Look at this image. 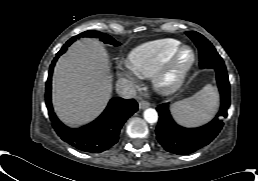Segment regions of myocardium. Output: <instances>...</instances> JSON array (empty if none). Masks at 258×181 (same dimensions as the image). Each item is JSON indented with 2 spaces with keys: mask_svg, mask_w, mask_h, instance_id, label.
I'll list each match as a JSON object with an SVG mask.
<instances>
[{
  "mask_svg": "<svg viewBox=\"0 0 258 181\" xmlns=\"http://www.w3.org/2000/svg\"><path fill=\"white\" fill-rule=\"evenodd\" d=\"M185 51L190 52L189 61L182 63L181 56ZM196 62L194 50L187 45L179 46L152 76L155 89L163 95L175 93L183 85L186 76Z\"/></svg>",
  "mask_w": 258,
  "mask_h": 181,
  "instance_id": "1",
  "label": "myocardium"
}]
</instances>
